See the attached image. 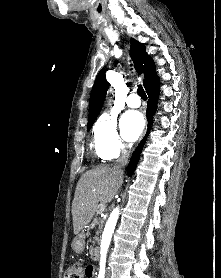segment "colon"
<instances>
[{"mask_svg":"<svg viewBox=\"0 0 221 278\" xmlns=\"http://www.w3.org/2000/svg\"><path fill=\"white\" fill-rule=\"evenodd\" d=\"M90 271V265L83 266L81 263H73L66 269V278H86Z\"/></svg>","mask_w":221,"mask_h":278,"instance_id":"5ec220e1","label":"colon"}]
</instances>
